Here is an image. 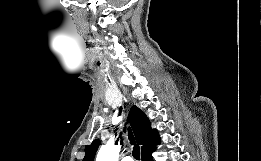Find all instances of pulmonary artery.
I'll use <instances>...</instances> for the list:
<instances>
[{"instance_id": "e3ab8cb5", "label": "pulmonary artery", "mask_w": 261, "mask_h": 161, "mask_svg": "<svg viewBox=\"0 0 261 161\" xmlns=\"http://www.w3.org/2000/svg\"><path fill=\"white\" fill-rule=\"evenodd\" d=\"M122 161H133L130 156L123 157Z\"/></svg>"}]
</instances>
